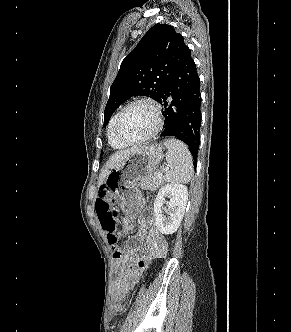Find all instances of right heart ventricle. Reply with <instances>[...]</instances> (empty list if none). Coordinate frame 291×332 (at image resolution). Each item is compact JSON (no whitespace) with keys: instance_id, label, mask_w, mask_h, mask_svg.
<instances>
[{"instance_id":"e07e8e85","label":"right heart ventricle","mask_w":291,"mask_h":332,"mask_svg":"<svg viewBox=\"0 0 291 332\" xmlns=\"http://www.w3.org/2000/svg\"><path fill=\"white\" fill-rule=\"evenodd\" d=\"M119 113V112H118ZM118 113H116L110 120L109 125H108V130H107V138L108 142L113 147L114 149H123L126 145L120 142L114 132V126H115V121L117 118Z\"/></svg>"}]
</instances>
